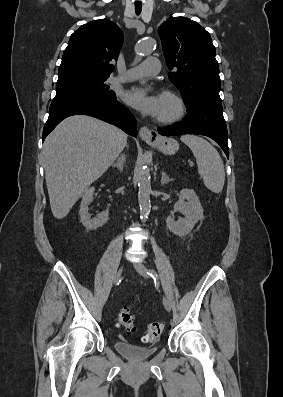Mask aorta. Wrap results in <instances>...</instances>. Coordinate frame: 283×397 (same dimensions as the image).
Listing matches in <instances>:
<instances>
[{"label":"aorta","mask_w":283,"mask_h":397,"mask_svg":"<svg viewBox=\"0 0 283 397\" xmlns=\"http://www.w3.org/2000/svg\"><path fill=\"white\" fill-rule=\"evenodd\" d=\"M153 47H154V41L152 39H147L138 43L135 47V51L139 55H148L152 52ZM138 186H139L138 203L140 206V214L141 217L145 219L148 217L151 209V203H150L151 178H150V173L146 168H144L140 172Z\"/></svg>","instance_id":"aorta-1"}]
</instances>
